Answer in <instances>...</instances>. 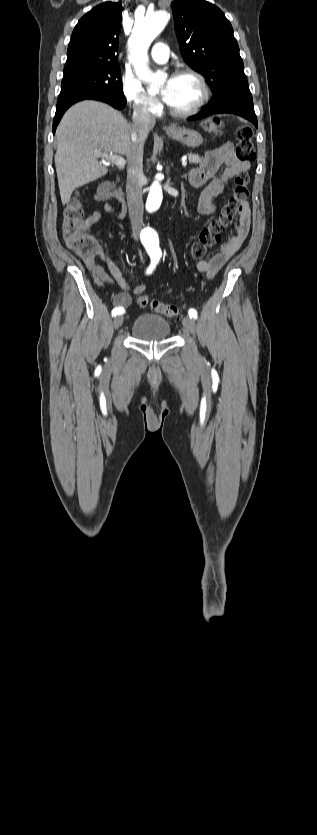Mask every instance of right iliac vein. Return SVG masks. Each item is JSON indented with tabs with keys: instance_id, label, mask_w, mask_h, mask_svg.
Segmentation results:
<instances>
[{
	"instance_id": "1",
	"label": "right iliac vein",
	"mask_w": 317,
	"mask_h": 835,
	"mask_svg": "<svg viewBox=\"0 0 317 835\" xmlns=\"http://www.w3.org/2000/svg\"><path fill=\"white\" fill-rule=\"evenodd\" d=\"M122 323H123V317L121 315L116 316L113 320V326H114L115 329H119L121 327Z\"/></svg>"
}]
</instances>
